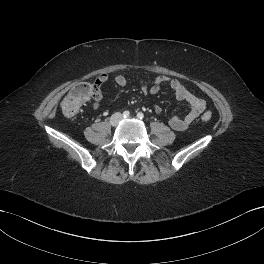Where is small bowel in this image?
I'll return each instance as SVG.
<instances>
[{"label": "small bowel", "instance_id": "1", "mask_svg": "<svg viewBox=\"0 0 264 264\" xmlns=\"http://www.w3.org/2000/svg\"><path fill=\"white\" fill-rule=\"evenodd\" d=\"M108 78V75L103 73L100 74L93 83L95 87L92 96L94 110L99 108V104L102 100L100 88L108 81ZM114 83L119 87H125L127 85V78L123 75H117L114 77ZM138 83L141 92L145 95H156L160 92L163 84H168L174 92L175 99L188 105L189 110L184 116H174L169 120V124L174 130H186L188 126L205 110V101L189 92L188 89L176 78L167 75H160L148 83L143 80H139ZM154 111L160 113L162 109L159 105H155Z\"/></svg>", "mask_w": 264, "mask_h": 264}]
</instances>
